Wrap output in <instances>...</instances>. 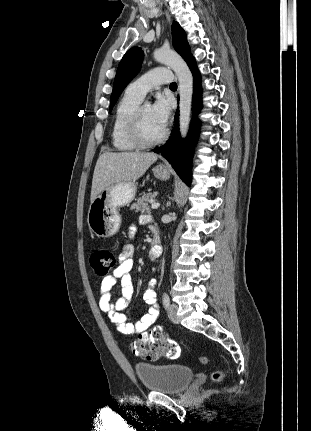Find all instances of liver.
<instances>
[{
    "label": "liver",
    "mask_w": 311,
    "mask_h": 431,
    "mask_svg": "<svg viewBox=\"0 0 311 431\" xmlns=\"http://www.w3.org/2000/svg\"><path fill=\"white\" fill-rule=\"evenodd\" d=\"M157 160V154H145V152H119V154L105 152V154H101L94 168L90 202H93L100 192L112 184L139 180Z\"/></svg>",
    "instance_id": "obj_1"
}]
</instances>
